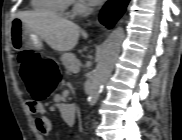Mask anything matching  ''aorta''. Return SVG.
I'll use <instances>...</instances> for the list:
<instances>
[{
	"label": "aorta",
	"instance_id": "obj_1",
	"mask_svg": "<svg viewBox=\"0 0 182 140\" xmlns=\"http://www.w3.org/2000/svg\"><path fill=\"white\" fill-rule=\"evenodd\" d=\"M124 37V29L122 27H118L111 32L103 43L98 57L97 68L92 76L88 92V102L90 105H94L97 102L103 85L110 75L119 55Z\"/></svg>",
	"mask_w": 182,
	"mask_h": 140
}]
</instances>
